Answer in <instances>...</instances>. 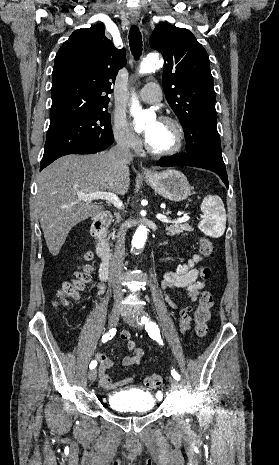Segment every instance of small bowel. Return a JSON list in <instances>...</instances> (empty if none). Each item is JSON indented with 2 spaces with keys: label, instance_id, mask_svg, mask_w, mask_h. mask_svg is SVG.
Here are the masks:
<instances>
[{
  "label": "small bowel",
  "instance_id": "obj_1",
  "mask_svg": "<svg viewBox=\"0 0 279 465\" xmlns=\"http://www.w3.org/2000/svg\"><path fill=\"white\" fill-rule=\"evenodd\" d=\"M203 261L200 255H192L185 263L177 265L174 269L167 271L164 274L163 287L171 289L183 290L190 301H196L201 289L204 288L205 282L200 279L202 267L198 265ZM99 293L104 290L103 284H99ZM171 307L176 308L177 305L171 299L167 298ZM194 311L192 307L182 308L177 316L178 325L182 333L187 332L192 323L191 313ZM121 340L126 343L129 354L124 357L122 363L126 367L138 366L145 355L142 348L136 346V343L131 340L128 331L121 333ZM95 361H98V375L100 385L108 390L122 387L133 381L134 376L126 377L119 381H113L107 371L114 365L113 360L104 353H96Z\"/></svg>",
  "mask_w": 279,
  "mask_h": 465
}]
</instances>
